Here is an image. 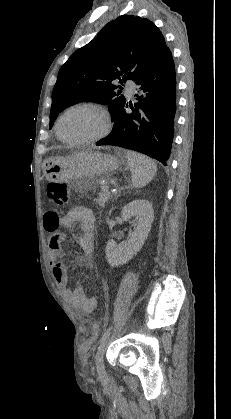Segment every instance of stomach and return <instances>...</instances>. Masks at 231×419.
Listing matches in <instances>:
<instances>
[{
	"instance_id": "0dacf381",
	"label": "stomach",
	"mask_w": 231,
	"mask_h": 419,
	"mask_svg": "<svg viewBox=\"0 0 231 419\" xmlns=\"http://www.w3.org/2000/svg\"><path fill=\"white\" fill-rule=\"evenodd\" d=\"M125 163L122 154L111 155L88 150L57 157L43 163V172L50 182L69 181L79 193L94 188L100 180L107 179Z\"/></svg>"
}]
</instances>
